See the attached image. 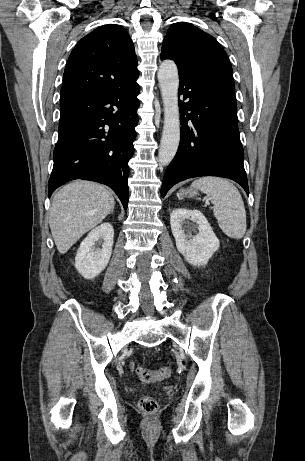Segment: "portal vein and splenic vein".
Wrapping results in <instances>:
<instances>
[{
    "label": "portal vein and splenic vein",
    "mask_w": 305,
    "mask_h": 461,
    "mask_svg": "<svg viewBox=\"0 0 305 461\" xmlns=\"http://www.w3.org/2000/svg\"><path fill=\"white\" fill-rule=\"evenodd\" d=\"M206 204H209V202H208V201H206Z\"/></svg>",
    "instance_id": "portal-vein-and-splenic-vein-1"
}]
</instances>
